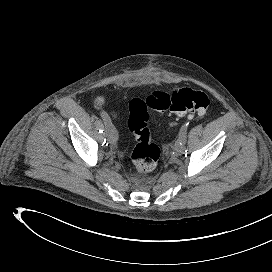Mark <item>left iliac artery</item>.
I'll use <instances>...</instances> for the list:
<instances>
[{"label": "left iliac artery", "mask_w": 272, "mask_h": 272, "mask_svg": "<svg viewBox=\"0 0 272 272\" xmlns=\"http://www.w3.org/2000/svg\"><path fill=\"white\" fill-rule=\"evenodd\" d=\"M188 125H189V123H186L180 129L179 138H178V143L180 145H184L186 143V138H187L186 134H187Z\"/></svg>", "instance_id": "1"}]
</instances>
